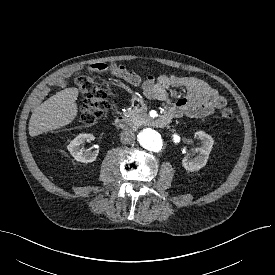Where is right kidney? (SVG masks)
Returning a JSON list of instances; mask_svg holds the SVG:
<instances>
[{
    "instance_id": "obj_1",
    "label": "right kidney",
    "mask_w": 275,
    "mask_h": 275,
    "mask_svg": "<svg viewBox=\"0 0 275 275\" xmlns=\"http://www.w3.org/2000/svg\"><path fill=\"white\" fill-rule=\"evenodd\" d=\"M92 140H94L92 134H79L67 145V149L76 161L83 163L93 162L98 156V150L89 152L80 148V145L85 141L90 142Z\"/></svg>"
}]
</instances>
